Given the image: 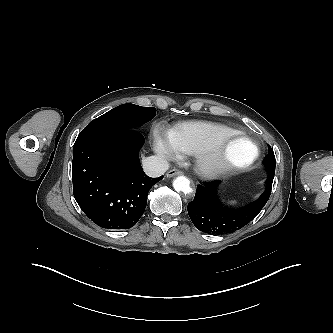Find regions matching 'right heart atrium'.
<instances>
[{
  "instance_id": "right-heart-atrium-1",
  "label": "right heart atrium",
  "mask_w": 333,
  "mask_h": 333,
  "mask_svg": "<svg viewBox=\"0 0 333 333\" xmlns=\"http://www.w3.org/2000/svg\"><path fill=\"white\" fill-rule=\"evenodd\" d=\"M154 150L159 157L167 161L176 159L180 154L170 134L160 128L154 131Z\"/></svg>"
}]
</instances>
